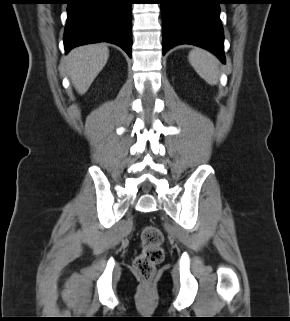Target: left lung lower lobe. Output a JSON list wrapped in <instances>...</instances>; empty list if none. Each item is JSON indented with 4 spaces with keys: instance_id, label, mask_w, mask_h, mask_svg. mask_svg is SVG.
<instances>
[{
    "instance_id": "obj_1",
    "label": "left lung lower lobe",
    "mask_w": 290,
    "mask_h": 321,
    "mask_svg": "<svg viewBox=\"0 0 290 321\" xmlns=\"http://www.w3.org/2000/svg\"><path fill=\"white\" fill-rule=\"evenodd\" d=\"M222 0H162L163 54L179 44L209 50L225 63Z\"/></svg>"
}]
</instances>
